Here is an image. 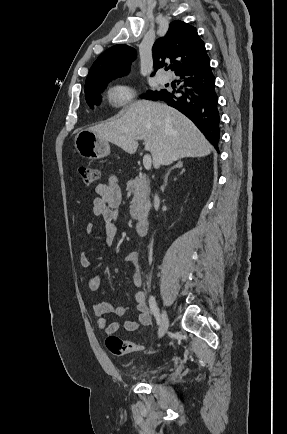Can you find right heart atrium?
Returning <instances> with one entry per match:
<instances>
[{"label": "right heart atrium", "mask_w": 287, "mask_h": 434, "mask_svg": "<svg viewBox=\"0 0 287 434\" xmlns=\"http://www.w3.org/2000/svg\"><path fill=\"white\" fill-rule=\"evenodd\" d=\"M136 96V89L133 85L119 83L108 90L109 103L117 108L129 104Z\"/></svg>", "instance_id": "d8ad5b80"}]
</instances>
